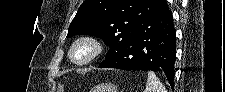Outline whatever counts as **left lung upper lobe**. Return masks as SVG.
Wrapping results in <instances>:
<instances>
[{"label":"left lung upper lobe","instance_id":"1","mask_svg":"<svg viewBox=\"0 0 225 92\" xmlns=\"http://www.w3.org/2000/svg\"><path fill=\"white\" fill-rule=\"evenodd\" d=\"M165 4L166 0H85L69 26L67 38L76 34L101 38L110 47L106 60Z\"/></svg>","mask_w":225,"mask_h":92}]
</instances>
